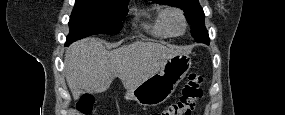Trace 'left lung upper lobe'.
<instances>
[{"label":"left lung upper lobe","mask_w":285,"mask_h":115,"mask_svg":"<svg viewBox=\"0 0 285 115\" xmlns=\"http://www.w3.org/2000/svg\"><path fill=\"white\" fill-rule=\"evenodd\" d=\"M156 3L166 4L182 9L186 14L188 24L191 25V34L196 42L209 44L208 31L204 25L205 15L198 0H153Z\"/></svg>","instance_id":"left-lung-upper-lobe-1"}]
</instances>
